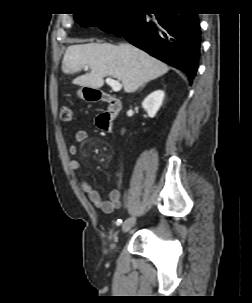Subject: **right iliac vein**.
Instances as JSON below:
<instances>
[{
	"instance_id": "63e3f726",
	"label": "right iliac vein",
	"mask_w": 252,
	"mask_h": 303,
	"mask_svg": "<svg viewBox=\"0 0 252 303\" xmlns=\"http://www.w3.org/2000/svg\"><path fill=\"white\" fill-rule=\"evenodd\" d=\"M136 223V218L135 217H130L126 219L123 224H122V231L124 233H127Z\"/></svg>"
}]
</instances>
